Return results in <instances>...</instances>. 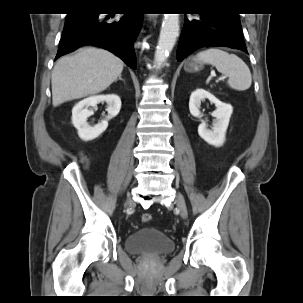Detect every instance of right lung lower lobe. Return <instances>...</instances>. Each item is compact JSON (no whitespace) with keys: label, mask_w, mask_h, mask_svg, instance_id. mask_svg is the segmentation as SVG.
I'll list each match as a JSON object with an SVG mask.
<instances>
[{"label":"right lung lower lobe","mask_w":303,"mask_h":303,"mask_svg":"<svg viewBox=\"0 0 303 303\" xmlns=\"http://www.w3.org/2000/svg\"><path fill=\"white\" fill-rule=\"evenodd\" d=\"M113 17L114 14H99L89 7L69 13L55 60L81 46L95 45L111 51L135 69L133 43L142 25L143 14L127 13L119 19Z\"/></svg>","instance_id":"1"}]
</instances>
